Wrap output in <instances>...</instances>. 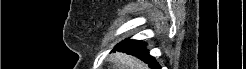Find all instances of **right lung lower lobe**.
Masks as SVG:
<instances>
[{
    "label": "right lung lower lobe",
    "mask_w": 246,
    "mask_h": 69,
    "mask_svg": "<svg viewBox=\"0 0 246 69\" xmlns=\"http://www.w3.org/2000/svg\"><path fill=\"white\" fill-rule=\"evenodd\" d=\"M144 43L136 40H124L117 44L114 50H118L120 52H125L131 55L138 57L143 60L145 63H148L150 68L160 69L159 64L156 62L155 58L148 54V51L143 48Z\"/></svg>",
    "instance_id": "1"
}]
</instances>
